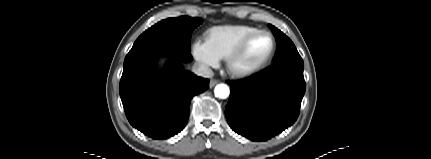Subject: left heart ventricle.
<instances>
[{
	"label": "left heart ventricle",
	"mask_w": 431,
	"mask_h": 159,
	"mask_svg": "<svg viewBox=\"0 0 431 159\" xmlns=\"http://www.w3.org/2000/svg\"><path fill=\"white\" fill-rule=\"evenodd\" d=\"M272 48L271 38L267 35H258L247 46L244 53L236 62L238 69L253 67L263 61Z\"/></svg>",
	"instance_id": "left-heart-ventricle-1"
}]
</instances>
